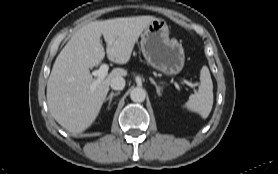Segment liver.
I'll return each mask as SVG.
<instances>
[{
	"instance_id": "liver-1",
	"label": "liver",
	"mask_w": 278,
	"mask_h": 174,
	"mask_svg": "<svg viewBox=\"0 0 278 174\" xmlns=\"http://www.w3.org/2000/svg\"><path fill=\"white\" fill-rule=\"evenodd\" d=\"M153 16L120 17L93 21L78 29L57 56L47 82V103L53 118L67 131L81 133L98 116L115 77L127 75L123 68H114L94 90L90 68L105 57L101 35L106 42L107 58L126 64L135 43Z\"/></svg>"
}]
</instances>
